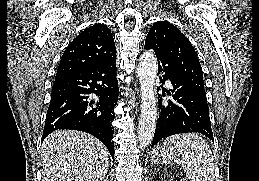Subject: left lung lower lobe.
I'll list each match as a JSON object with an SVG mask.
<instances>
[{"label": "left lung lower lobe", "instance_id": "left-lung-lower-lobe-1", "mask_svg": "<svg viewBox=\"0 0 259 181\" xmlns=\"http://www.w3.org/2000/svg\"><path fill=\"white\" fill-rule=\"evenodd\" d=\"M158 60V73L165 72L160 82L169 80L172 87L169 90L162 88L172 99L167 104H162L158 99L160 116L152 141V147L163 138L179 133L198 132L213 142V133L209 117L207 99L200 96L188 84L180 81L170 67L169 61L164 56H156Z\"/></svg>", "mask_w": 259, "mask_h": 181}]
</instances>
